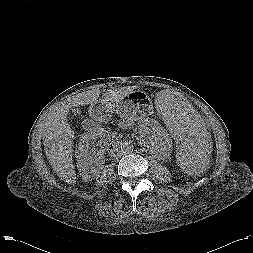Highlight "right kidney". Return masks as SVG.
<instances>
[{"instance_id": "ca27d5eb", "label": "right kidney", "mask_w": 253, "mask_h": 253, "mask_svg": "<svg viewBox=\"0 0 253 253\" xmlns=\"http://www.w3.org/2000/svg\"><path fill=\"white\" fill-rule=\"evenodd\" d=\"M109 142L103 129H92L80 135L76 149L77 168L82 179L89 182L98 179L104 166L103 154Z\"/></svg>"}]
</instances>
